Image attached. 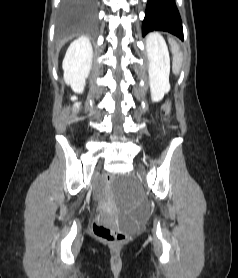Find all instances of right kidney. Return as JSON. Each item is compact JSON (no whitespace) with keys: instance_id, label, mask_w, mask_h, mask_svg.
<instances>
[{"instance_id":"1","label":"right kidney","mask_w":238,"mask_h":278,"mask_svg":"<svg viewBox=\"0 0 238 278\" xmlns=\"http://www.w3.org/2000/svg\"><path fill=\"white\" fill-rule=\"evenodd\" d=\"M93 50L87 37L75 40L68 48L63 60L64 80L74 91L84 90L92 65Z\"/></svg>"}]
</instances>
